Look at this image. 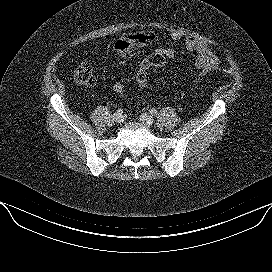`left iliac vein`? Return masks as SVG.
<instances>
[{
  "mask_svg": "<svg viewBox=\"0 0 272 272\" xmlns=\"http://www.w3.org/2000/svg\"><path fill=\"white\" fill-rule=\"evenodd\" d=\"M140 120L146 127H151L154 123L153 117L148 113L141 114Z\"/></svg>",
  "mask_w": 272,
  "mask_h": 272,
  "instance_id": "1",
  "label": "left iliac vein"
}]
</instances>
